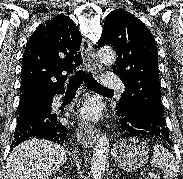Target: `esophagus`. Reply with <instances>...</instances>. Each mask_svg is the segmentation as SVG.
Wrapping results in <instances>:
<instances>
[{
    "label": "esophagus",
    "instance_id": "34e87169",
    "mask_svg": "<svg viewBox=\"0 0 183 179\" xmlns=\"http://www.w3.org/2000/svg\"><path fill=\"white\" fill-rule=\"evenodd\" d=\"M82 55L88 72L96 73V71L100 69L101 65L95 50L92 48L90 41L86 38H83L82 40ZM77 123V139L79 143L83 146L91 147L97 139L100 130L94 125L88 124L81 117L77 118Z\"/></svg>",
    "mask_w": 183,
    "mask_h": 179
}]
</instances>
